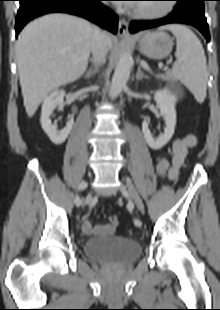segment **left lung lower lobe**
<instances>
[{"instance_id": "left-lung-lower-lobe-1", "label": "left lung lower lobe", "mask_w": 220, "mask_h": 310, "mask_svg": "<svg viewBox=\"0 0 220 310\" xmlns=\"http://www.w3.org/2000/svg\"><path fill=\"white\" fill-rule=\"evenodd\" d=\"M177 1V0H174ZM178 2V1H177ZM165 24H188L197 28L209 42V28L204 15V10L194 6L177 5L167 17L152 21H133L130 24V32L135 33L139 30H145Z\"/></svg>"}]
</instances>
